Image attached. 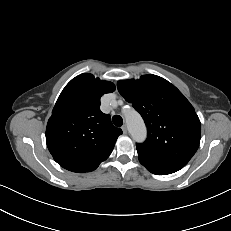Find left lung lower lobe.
I'll use <instances>...</instances> for the list:
<instances>
[{
  "label": "left lung lower lobe",
  "mask_w": 231,
  "mask_h": 231,
  "mask_svg": "<svg viewBox=\"0 0 231 231\" xmlns=\"http://www.w3.org/2000/svg\"><path fill=\"white\" fill-rule=\"evenodd\" d=\"M142 165H144L151 173L156 174V175H167V174H172L176 172L175 170H170V169H165L157 166H153L150 164H147L145 162L140 161Z\"/></svg>",
  "instance_id": "left-lung-lower-lobe-1"
}]
</instances>
